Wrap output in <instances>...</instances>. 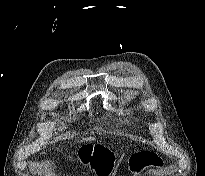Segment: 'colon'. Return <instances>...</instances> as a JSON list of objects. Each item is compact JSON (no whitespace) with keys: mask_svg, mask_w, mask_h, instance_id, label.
<instances>
[{"mask_svg":"<svg viewBox=\"0 0 205 176\" xmlns=\"http://www.w3.org/2000/svg\"><path fill=\"white\" fill-rule=\"evenodd\" d=\"M81 161L89 165L97 176H109L114 169V162L109 151L103 147H92L81 155ZM162 166L161 159L151 150H141L130 158V170L140 174L150 167Z\"/></svg>","mask_w":205,"mask_h":176,"instance_id":"1","label":"colon"}]
</instances>
